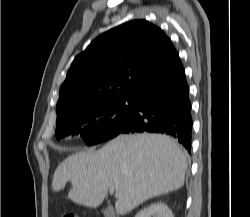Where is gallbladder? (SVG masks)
I'll return each mask as SVG.
<instances>
[{
    "instance_id": "gallbladder-1",
    "label": "gallbladder",
    "mask_w": 250,
    "mask_h": 217,
    "mask_svg": "<svg viewBox=\"0 0 250 217\" xmlns=\"http://www.w3.org/2000/svg\"><path fill=\"white\" fill-rule=\"evenodd\" d=\"M104 216H105V217H114V212H113V210L110 209V208H106V209L104 210Z\"/></svg>"
}]
</instances>
